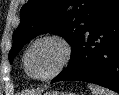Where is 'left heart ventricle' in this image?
Listing matches in <instances>:
<instances>
[{"label":"left heart ventricle","mask_w":119,"mask_h":95,"mask_svg":"<svg viewBox=\"0 0 119 95\" xmlns=\"http://www.w3.org/2000/svg\"><path fill=\"white\" fill-rule=\"evenodd\" d=\"M63 57V48L56 41H42L36 44L28 56L30 72L38 77L47 76L58 66Z\"/></svg>","instance_id":"left-heart-ventricle-1"}]
</instances>
